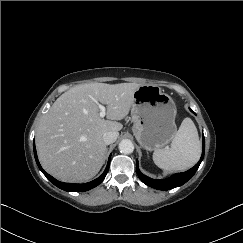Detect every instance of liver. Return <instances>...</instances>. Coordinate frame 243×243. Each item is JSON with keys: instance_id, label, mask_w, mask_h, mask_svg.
Listing matches in <instances>:
<instances>
[{"instance_id": "obj_1", "label": "liver", "mask_w": 243, "mask_h": 243, "mask_svg": "<svg viewBox=\"0 0 243 243\" xmlns=\"http://www.w3.org/2000/svg\"><path fill=\"white\" fill-rule=\"evenodd\" d=\"M137 83H90L63 93L42 117L36 148L45 171L63 182L80 183L101 169L106 152L105 132L119 135L133 104ZM99 103L107 105V120L99 116Z\"/></svg>"}]
</instances>
